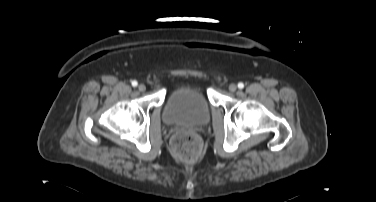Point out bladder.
<instances>
[{"label":"bladder","mask_w":376,"mask_h":202,"mask_svg":"<svg viewBox=\"0 0 376 202\" xmlns=\"http://www.w3.org/2000/svg\"><path fill=\"white\" fill-rule=\"evenodd\" d=\"M163 120L170 125L200 127L210 120L211 109L205 94L196 88H181L167 97Z\"/></svg>","instance_id":"bladder-1"}]
</instances>
